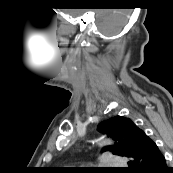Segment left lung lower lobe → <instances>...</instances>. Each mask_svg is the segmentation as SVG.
Wrapping results in <instances>:
<instances>
[{"instance_id": "0a47b994", "label": "left lung lower lobe", "mask_w": 173, "mask_h": 173, "mask_svg": "<svg viewBox=\"0 0 173 173\" xmlns=\"http://www.w3.org/2000/svg\"><path fill=\"white\" fill-rule=\"evenodd\" d=\"M165 157L143 131L139 133V144L129 157L127 173H167Z\"/></svg>"}]
</instances>
